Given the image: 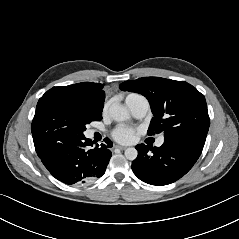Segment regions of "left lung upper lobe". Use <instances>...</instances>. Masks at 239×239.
I'll use <instances>...</instances> for the list:
<instances>
[{
    "label": "left lung upper lobe",
    "mask_w": 239,
    "mask_h": 239,
    "mask_svg": "<svg viewBox=\"0 0 239 239\" xmlns=\"http://www.w3.org/2000/svg\"><path fill=\"white\" fill-rule=\"evenodd\" d=\"M119 88L148 99L154 115L148 135L163 132L165 138L204 146L210 119L205 97L195 87L185 81L143 77L125 81Z\"/></svg>",
    "instance_id": "5c2ea615"
}]
</instances>
